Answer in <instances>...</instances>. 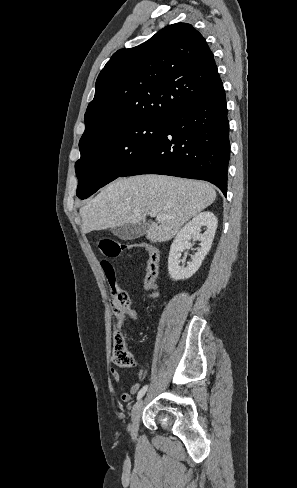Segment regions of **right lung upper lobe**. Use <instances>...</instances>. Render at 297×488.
Returning <instances> with one entry per match:
<instances>
[{
    "label": "right lung upper lobe",
    "instance_id": "1",
    "mask_svg": "<svg viewBox=\"0 0 297 488\" xmlns=\"http://www.w3.org/2000/svg\"><path fill=\"white\" fill-rule=\"evenodd\" d=\"M221 84L203 36L190 24L169 25L139 46L118 50L106 63L85 113L79 149L120 127L169 119Z\"/></svg>",
    "mask_w": 297,
    "mask_h": 488
}]
</instances>
